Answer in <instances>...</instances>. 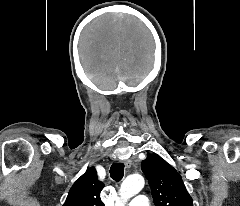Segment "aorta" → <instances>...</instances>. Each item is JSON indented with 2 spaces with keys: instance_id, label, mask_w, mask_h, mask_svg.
<instances>
[{
  "instance_id": "1",
  "label": "aorta",
  "mask_w": 240,
  "mask_h": 206,
  "mask_svg": "<svg viewBox=\"0 0 240 206\" xmlns=\"http://www.w3.org/2000/svg\"><path fill=\"white\" fill-rule=\"evenodd\" d=\"M144 187V178L139 174L128 176L121 184L119 195L120 200L116 206H124L125 203L138 194Z\"/></svg>"
}]
</instances>
